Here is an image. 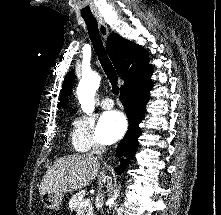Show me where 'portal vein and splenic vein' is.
I'll use <instances>...</instances> for the list:
<instances>
[{"mask_svg": "<svg viewBox=\"0 0 221 215\" xmlns=\"http://www.w3.org/2000/svg\"><path fill=\"white\" fill-rule=\"evenodd\" d=\"M80 207H86L88 206V202L87 201H82L80 204H79Z\"/></svg>", "mask_w": 221, "mask_h": 215, "instance_id": "portal-vein-and-splenic-vein-1", "label": "portal vein and splenic vein"}]
</instances>
